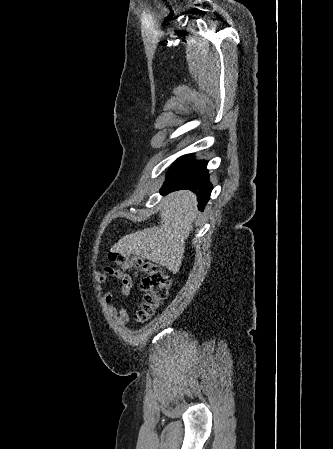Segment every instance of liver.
Masks as SVG:
<instances>
[{
    "instance_id": "1",
    "label": "liver",
    "mask_w": 333,
    "mask_h": 449,
    "mask_svg": "<svg viewBox=\"0 0 333 449\" xmlns=\"http://www.w3.org/2000/svg\"><path fill=\"white\" fill-rule=\"evenodd\" d=\"M197 197L189 190L169 193L162 199L160 226L125 235L111 251L135 254L177 272L185 252V240L195 220Z\"/></svg>"
}]
</instances>
